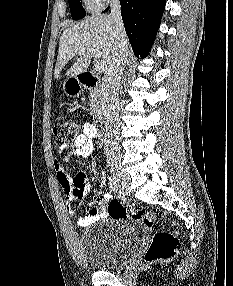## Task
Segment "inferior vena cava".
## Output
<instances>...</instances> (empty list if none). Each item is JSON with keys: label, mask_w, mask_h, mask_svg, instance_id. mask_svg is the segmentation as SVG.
<instances>
[{"label": "inferior vena cava", "mask_w": 233, "mask_h": 286, "mask_svg": "<svg viewBox=\"0 0 233 286\" xmlns=\"http://www.w3.org/2000/svg\"><path fill=\"white\" fill-rule=\"evenodd\" d=\"M111 18L114 23L115 48L111 64L103 79V115L105 130L111 134V139L118 137L119 129V97L123 72L128 60L127 38L121 17L119 0H111ZM114 146L113 142H109Z\"/></svg>", "instance_id": "obj_1"}]
</instances>
